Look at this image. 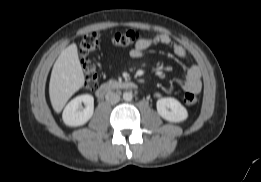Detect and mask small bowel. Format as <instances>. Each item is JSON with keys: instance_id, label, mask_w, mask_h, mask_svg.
Masks as SVG:
<instances>
[{"instance_id": "c3829d8e", "label": "small bowel", "mask_w": 261, "mask_h": 182, "mask_svg": "<svg viewBox=\"0 0 261 182\" xmlns=\"http://www.w3.org/2000/svg\"><path fill=\"white\" fill-rule=\"evenodd\" d=\"M154 45L169 46L175 56L185 62H189L185 48L180 43L174 41L169 35L163 33L139 39L135 46L130 50V56L132 58H140L145 50ZM182 87L185 92H191L194 94H199L201 92V72L198 66L189 65L187 67ZM157 96L160 95L157 94Z\"/></svg>"}]
</instances>
